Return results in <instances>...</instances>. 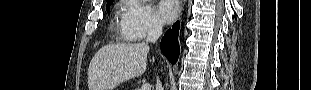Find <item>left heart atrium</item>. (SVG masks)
Masks as SVG:
<instances>
[{"instance_id":"left-heart-atrium-1","label":"left heart atrium","mask_w":311,"mask_h":90,"mask_svg":"<svg viewBox=\"0 0 311 90\" xmlns=\"http://www.w3.org/2000/svg\"><path fill=\"white\" fill-rule=\"evenodd\" d=\"M157 12L160 20L164 24H169L177 18L180 12L179 2L176 0H162L158 5Z\"/></svg>"}]
</instances>
